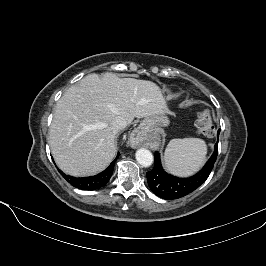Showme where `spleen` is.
Instances as JSON below:
<instances>
[{
  "instance_id": "spleen-1",
  "label": "spleen",
  "mask_w": 266,
  "mask_h": 266,
  "mask_svg": "<svg viewBox=\"0 0 266 266\" xmlns=\"http://www.w3.org/2000/svg\"><path fill=\"white\" fill-rule=\"evenodd\" d=\"M206 154L207 145L202 139H172L165 150V166L173 174L190 176L204 164Z\"/></svg>"
}]
</instances>
